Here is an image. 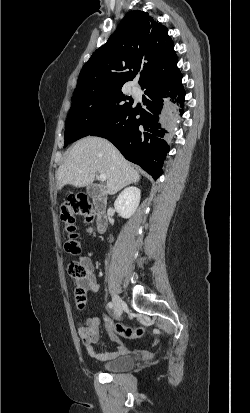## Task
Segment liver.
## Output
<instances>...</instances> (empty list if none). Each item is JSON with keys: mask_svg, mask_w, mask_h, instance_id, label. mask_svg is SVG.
<instances>
[{"mask_svg": "<svg viewBox=\"0 0 250 413\" xmlns=\"http://www.w3.org/2000/svg\"><path fill=\"white\" fill-rule=\"evenodd\" d=\"M97 172L106 175L107 192L111 195L140 180L139 173L108 140L88 136L76 142L59 167L57 189L68 184L88 187Z\"/></svg>", "mask_w": 250, "mask_h": 413, "instance_id": "obj_1", "label": "liver"}]
</instances>
